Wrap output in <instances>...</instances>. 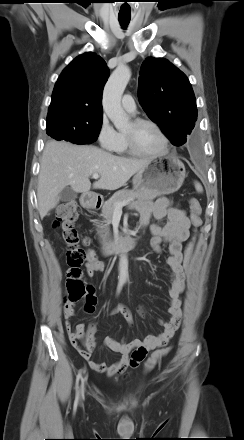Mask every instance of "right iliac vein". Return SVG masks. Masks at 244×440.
<instances>
[{
	"label": "right iliac vein",
	"instance_id": "right-iliac-vein-1",
	"mask_svg": "<svg viewBox=\"0 0 244 440\" xmlns=\"http://www.w3.org/2000/svg\"><path fill=\"white\" fill-rule=\"evenodd\" d=\"M84 392H85V385L83 383L82 386H81V389H80V398L81 399L84 397Z\"/></svg>",
	"mask_w": 244,
	"mask_h": 440
}]
</instances>
